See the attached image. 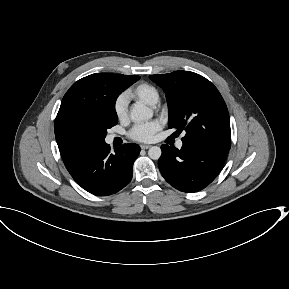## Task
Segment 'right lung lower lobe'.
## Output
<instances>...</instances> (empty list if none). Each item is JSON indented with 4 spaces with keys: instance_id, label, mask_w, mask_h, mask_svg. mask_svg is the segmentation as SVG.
Here are the masks:
<instances>
[{
    "instance_id": "98d812e1",
    "label": "right lung lower lobe",
    "mask_w": 289,
    "mask_h": 289,
    "mask_svg": "<svg viewBox=\"0 0 289 289\" xmlns=\"http://www.w3.org/2000/svg\"><path fill=\"white\" fill-rule=\"evenodd\" d=\"M140 153L137 144H124L110 153L104 144L66 167L73 179L86 191L98 196L114 194L132 179L133 163Z\"/></svg>"
}]
</instances>
